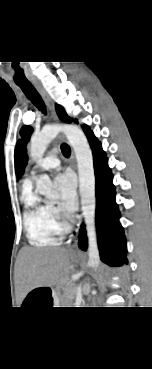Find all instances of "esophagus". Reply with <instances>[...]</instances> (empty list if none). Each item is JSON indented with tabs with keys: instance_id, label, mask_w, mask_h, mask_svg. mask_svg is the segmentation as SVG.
<instances>
[{
	"instance_id": "esophagus-1",
	"label": "esophagus",
	"mask_w": 152,
	"mask_h": 369,
	"mask_svg": "<svg viewBox=\"0 0 152 369\" xmlns=\"http://www.w3.org/2000/svg\"><path fill=\"white\" fill-rule=\"evenodd\" d=\"M34 87L36 88V90L41 94V96L43 97L44 101L46 102L52 117L54 118V120H56L57 122L59 121L56 110H55V106L54 103L52 101V99L50 98V96L48 95V93L45 91V89L42 87L41 84L34 82L33 83ZM62 137H64V135L62 134ZM72 156L74 158V155L72 153ZM80 221L77 224V227L74 229V231L72 232V234L70 235V238L67 242L68 247L70 248H76L77 247V242H78V236H79V228H80Z\"/></svg>"
}]
</instances>
